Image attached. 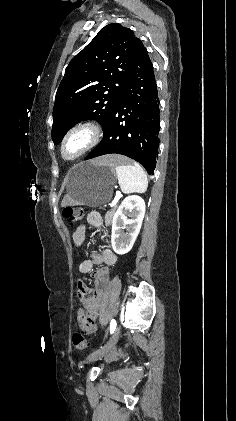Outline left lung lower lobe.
I'll use <instances>...</instances> for the list:
<instances>
[{
  "instance_id": "left-lung-lower-lobe-1",
  "label": "left lung lower lobe",
  "mask_w": 236,
  "mask_h": 421,
  "mask_svg": "<svg viewBox=\"0 0 236 421\" xmlns=\"http://www.w3.org/2000/svg\"><path fill=\"white\" fill-rule=\"evenodd\" d=\"M159 114L153 65L142 45L103 127L104 137L85 160L111 153L122 154L138 161L148 174H153L159 146Z\"/></svg>"
}]
</instances>
